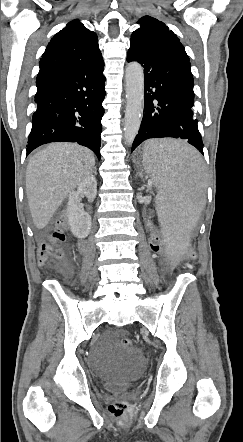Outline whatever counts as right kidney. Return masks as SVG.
<instances>
[{
  "label": "right kidney",
  "instance_id": "right-kidney-1",
  "mask_svg": "<svg viewBox=\"0 0 243 442\" xmlns=\"http://www.w3.org/2000/svg\"><path fill=\"white\" fill-rule=\"evenodd\" d=\"M97 193V181L94 176L87 177L78 186L77 191L70 193L67 203V218L72 234L77 238H85L91 229V216L79 207V194L93 200Z\"/></svg>",
  "mask_w": 243,
  "mask_h": 442
}]
</instances>
